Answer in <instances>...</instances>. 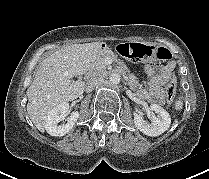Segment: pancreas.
<instances>
[{
    "label": "pancreas",
    "instance_id": "1",
    "mask_svg": "<svg viewBox=\"0 0 209 179\" xmlns=\"http://www.w3.org/2000/svg\"><path fill=\"white\" fill-rule=\"evenodd\" d=\"M110 57L112 58L117 64L119 65L117 67V71L123 75L126 84L130 87L131 90L136 91L139 87V82L136 79L135 75L130 73V70L128 67L124 64L123 61L118 60L117 56H115L111 51L105 52L104 57L101 58L96 66L92 69L91 75L93 78H104L108 75V71L106 70V64H105V58Z\"/></svg>",
    "mask_w": 209,
    "mask_h": 179
}]
</instances>
